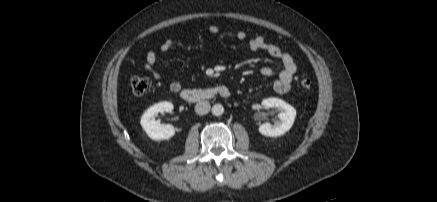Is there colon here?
Masks as SVG:
<instances>
[{"instance_id":"colon-1","label":"colon","mask_w":437,"mask_h":202,"mask_svg":"<svg viewBox=\"0 0 437 202\" xmlns=\"http://www.w3.org/2000/svg\"><path fill=\"white\" fill-rule=\"evenodd\" d=\"M299 86L302 90L307 91L311 88L312 81L308 77H303L299 82ZM130 87L135 95H142L150 89L151 81L146 77L136 76L131 78Z\"/></svg>"}]
</instances>
